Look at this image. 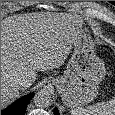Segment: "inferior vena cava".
<instances>
[{
  "label": "inferior vena cava",
  "mask_w": 115,
  "mask_h": 115,
  "mask_svg": "<svg viewBox=\"0 0 115 115\" xmlns=\"http://www.w3.org/2000/svg\"><path fill=\"white\" fill-rule=\"evenodd\" d=\"M14 86L18 89H25L29 86V83L25 81L24 79L19 78L15 80Z\"/></svg>",
  "instance_id": "obj_1"
}]
</instances>
